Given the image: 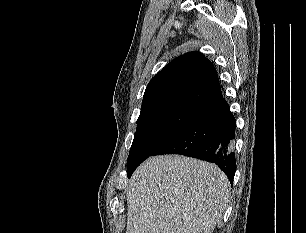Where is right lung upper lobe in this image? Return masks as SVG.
Wrapping results in <instances>:
<instances>
[{"mask_svg": "<svg viewBox=\"0 0 306 233\" xmlns=\"http://www.w3.org/2000/svg\"><path fill=\"white\" fill-rule=\"evenodd\" d=\"M222 97L217 72L202 53L188 52L172 60L147 85L142 106L184 100L206 107Z\"/></svg>", "mask_w": 306, "mask_h": 233, "instance_id": "cb5924a9", "label": "right lung upper lobe"}]
</instances>
